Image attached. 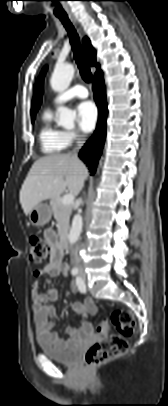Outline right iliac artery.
Instances as JSON below:
<instances>
[{
  "mask_svg": "<svg viewBox=\"0 0 168 406\" xmlns=\"http://www.w3.org/2000/svg\"><path fill=\"white\" fill-rule=\"evenodd\" d=\"M71 273H72L73 276H76V275L78 274V269H77V268H73V269L71 270Z\"/></svg>",
  "mask_w": 168,
  "mask_h": 406,
  "instance_id": "82829eb1",
  "label": "right iliac artery"
}]
</instances>
